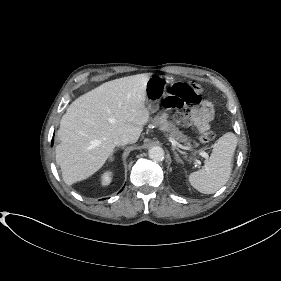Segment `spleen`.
Listing matches in <instances>:
<instances>
[{
  "label": "spleen",
  "instance_id": "spleen-1",
  "mask_svg": "<svg viewBox=\"0 0 281 281\" xmlns=\"http://www.w3.org/2000/svg\"><path fill=\"white\" fill-rule=\"evenodd\" d=\"M236 146L237 137L234 133L227 132L220 137L204 168L189 175L190 184L204 194H213L223 187L231 175Z\"/></svg>",
  "mask_w": 281,
  "mask_h": 281
}]
</instances>
